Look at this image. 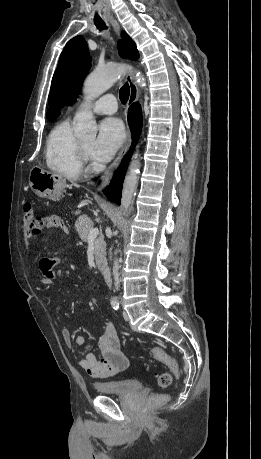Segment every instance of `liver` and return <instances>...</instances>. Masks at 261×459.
<instances>
[{
    "instance_id": "1",
    "label": "liver",
    "mask_w": 261,
    "mask_h": 459,
    "mask_svg": "<svg viewBox=\"0 0 261 459\" xmlns=\"http://www.w3.org/2000/svg\"><path fill=\"white\" fill-rule=\"evenodd\" d=\"M74 186L79 187V185H77V184H74Z\"/></svg>"
}]
</instances>
